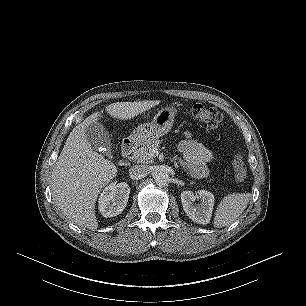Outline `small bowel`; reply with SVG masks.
Wrapping results in <instances>:
<instances>
[{
	"instance_id": "obj_1",
	"label": "small bowel",
	"mask_w": 306,
	"mask_h": 306,
	"mask_svg": "<svg viewBox=\"0 0 306 306\" xmlns=\"http://www.w3.org/2000/svg\"><path fill=\"white\" fill-rule=\"evenodd\" d=\"M178 150L191 174L197 177L208 175V164L214 160V155L201 142L195 140L190 132H186L185 138L178 143Z\"/></svg>"
}]
</instances>
